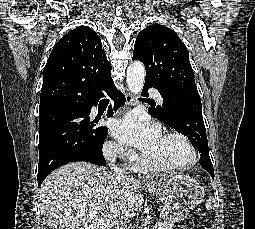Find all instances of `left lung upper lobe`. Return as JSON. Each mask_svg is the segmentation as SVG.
Returning a JSON list of instances; mask_svg holds the SVG:
<instances>
[{"label":"left lung upper lobe","instance_id":"5c2ea615","mask_svg":"<svg viewBox=\"0 0 255 229\" xmlns=\"http://www.w3.org/2000/svg\"><path fill=\"white\" fill-rule=\"evenodd\" d=\"M132 60H139L144 64L145 84L158 90L170 91L177 98L200 100L188 50L178 35L168 27L152 24L140 31L135 41ZM150 109L154 117L185 135L200 152L208 150L206 135L182 130L181 125L172 122L169 103ZM188 124L190 123L183 125Z\"/></svg>","mask_w":255,"mask_h":229}]
</instances>
